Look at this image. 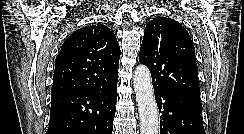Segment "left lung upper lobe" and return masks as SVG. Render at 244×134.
<instances>
[{"label":"left lung upper lobe","mask_w":244,"mask_h":134,"mask_svg":"<svg viewBox=\"0 0 244 134\" xmlns=\"http://www.w3.org/2000/svg\"><path fill=\"white\" fill-rule=\"evenodd\" d=\"M139 61L149 68L154 90L200 96L195 47L177 21L156 17L147 24Z\"/></svg>","instance_id":"obj_1"}]
</instances>
